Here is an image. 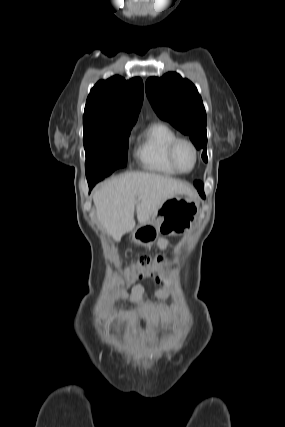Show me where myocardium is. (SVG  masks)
<instances>
[{"mask_svg": "<svg viewBox=\"0 0 285 427\" xmlns=\"http://www.w3.org/2000/svg\"><path fill=\"white\" fill-rule=\"evenodd\" d=\"M180 143H187L192 148L193 153H194V165L189 171L181 170L176 163L175 152H176L177 146ZM167 156H168V161H169L170 165L179 174H190V173H192L196 169L198 162H199V151H198L197 146L195 145V143L192 140H190L189 138H186V137L175 138L170 143V145L168 147Z\"/></svg>", "mask_w": 285, "mask_h": 427, "instance_id": "myocardium-1", "label": "myocardium"}]
</instances>
